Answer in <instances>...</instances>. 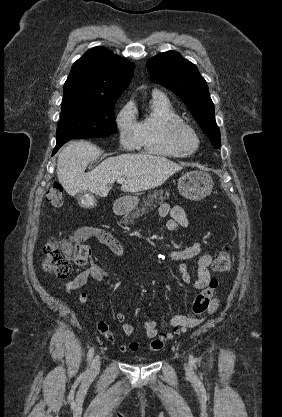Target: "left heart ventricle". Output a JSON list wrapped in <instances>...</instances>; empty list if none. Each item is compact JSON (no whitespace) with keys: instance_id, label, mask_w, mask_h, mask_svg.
<instances>
[{"instance_id":"left-heart-ventricle-1","label":"left heart ventricle","mask_w":282,"mask_h":417,"mask_svg":"<svg viewBox=\"0 0 282 417\" xmlns=\"http://www.w3.org/2000/svg\"><path fill=\"white\" fill-rule=\"evenodd\" d=\"M161 131L163 132V134H165L166 136L168 135V132H169V128H168V121L167 120H163L162 122H161ZM185 143H186V145L189 147V148H191V149H193L194 148V146H195V140L193 139V138H191V137H188L186 140H185Z\"/></svg>"}]
</instances>
